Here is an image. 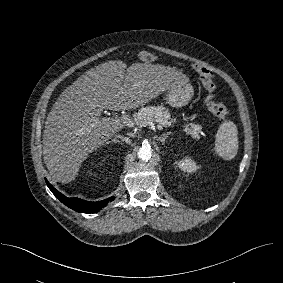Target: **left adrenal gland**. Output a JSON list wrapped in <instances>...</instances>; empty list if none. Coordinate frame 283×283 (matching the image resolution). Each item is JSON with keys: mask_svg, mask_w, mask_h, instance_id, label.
I'll use <instances>...</instances> for the list:
<instances>
[{"mask_svg": "<svg viewBox=\"0 0 283 283\" xmlns=\"http://www.w3.org/2000/svg\"><path fill=\"white\" fill-rule=\"evenodd\" d=\"M171 134V132H167L165 134H162L159 137H156L158 141H161L162 143H165V140L168 138V136Z\"/></svg>", "mask_w": 283, "mask_h": 283, "instance_id": "obj_1", "label": "left adrenal gland"}]
</instances>
